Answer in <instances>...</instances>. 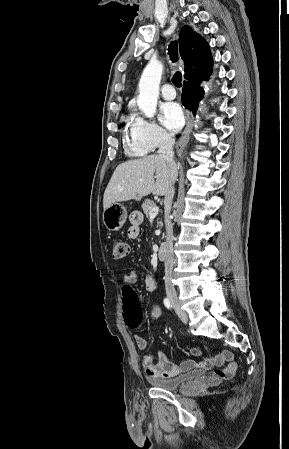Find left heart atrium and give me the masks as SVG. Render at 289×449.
I'll return each mask as SVG.
<instances>
[{
	"label": "left heart atrium",
	"instance_id": "obj_1",
	"mask_svg": "<svg viewBox=\"0 0 289 449\" xmlns=\"http://www.w3.org/2000/svg\"><path fill=\"white\" fill-rule=\"evenodd\" d=\"M160 113L161 122L170 130L177 131L185 123L182 108L176 102L163 103L160 107Z\"/></svg>",
	"mask_w": 289,
	"mask_h": 449
}]
</instances>
